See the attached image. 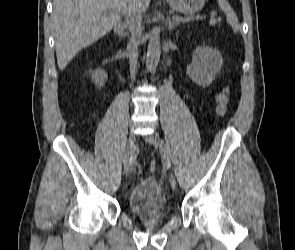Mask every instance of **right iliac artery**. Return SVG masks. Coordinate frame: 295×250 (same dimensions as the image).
<instances>
[{"label": "right iliac artery", "mask_w": 295, "mask_h": 250, "mask_svg": "<svg viewBox=\"0 0 295 250\" xmlns=\"http://www.w3.org/2000/svg\"><path fill=\"white\" fill-rule=\"evenodd\" d=\"M135 158H136L135 156L131 157L129 162H130L131 164H133L134 161H135Z\"/></svg>", "instance_id": "right-iliac-artery-1"}]
</instances>
